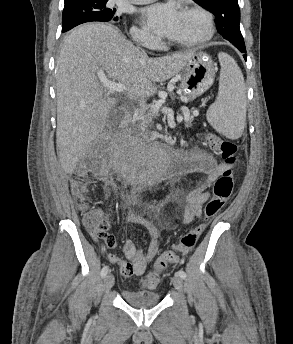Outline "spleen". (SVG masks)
Returning a JSON list of instances; mask_svg holds the SVG:
<instances>
[{
    "label": "spleen",
    "instance_id": "1",
    "mask_svg": "<svg viewBox=\"0 0 293 344\" xmlns=\"http://www.w3.org/2000/svg\"><path fill=\"white\" fill-rule=\"evenodd\" d=\"M221 65L217 100L207 111V121L229 139L239 138L246 123V89L243 74L236 61L219 53Z\"/></svg>",
    "mask_w": 293,
    "mask_h": 344
}]
</instances>
